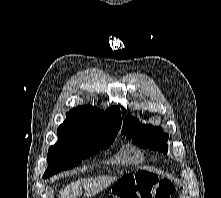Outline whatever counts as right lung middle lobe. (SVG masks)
I'll return each instance as SVG.
<instances>
[{"label": "right lung middle lobe", "instance_id": "obj_1", "mask_svg": "<svg viewBox=\"0 0 221 198\" xmlns=\"http://www.w3.org/2000/svg\"><path fill=\"white\" fill-rule=\"evenodd\" d=\"M117 133L114 130H102L85 136L58 135L57 143L49 148L48 168L43 178L78 166L83 159L106 149L114 142Z\"/></svg>", "mask_w": 221, "mask_h": 198}]
</instances>
